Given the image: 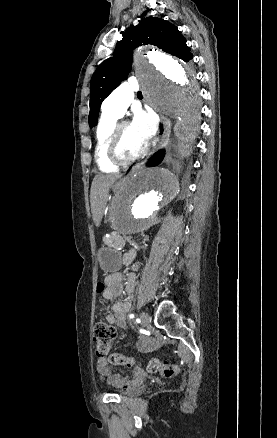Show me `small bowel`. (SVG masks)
<instances>
[{
    "mask_svg": "<svg viewBox=\"0 0 277 438\" xmlns=\"http://www.w3.org/2000/svg\"><path fill=\"white\" fill-rule=\"evenodd\" d=\"M133 253H129L126 257L127 261H132ZM106 288L103 292V298L107 302H111L114 298L126 294L124 300L112 303L106 308V321L110 324H116L120 328H127L125 321L126 314L131 310L133 305V297L136 290V276L130 275L125 280L122 275L113 273L105 278ZM112 366H117L116 363H106L105 358H99L96 362V371L98 375L108 384L122 388L131 389L137 386L143 379V371L139 367L137 372H133L131 376H125L120 372H115Z\"/></svg>",
    "mask_w": 277,
    "mask_h": 438,
    "instance_id": "obj_1",
    "label": "small bowel"
}]
</instances>
